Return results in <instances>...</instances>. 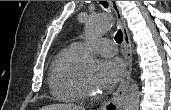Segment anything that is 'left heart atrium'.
<instances>
[{
  "instance_id": "1",
  "label": "left heart atrium",
  "mask_w": 171,
  "mask_h": 110,
  "mask_svg": "<svg viewBox=\"0 0 171 110\" xmlns=\"http://www.w3.org/2000/svg\"><path fill=\"white\" fill-rule=\"evenodd\" d=\"M125 66L121 59L103 60L94 76L93 84L96 89L109 90L113 88L124 74Z\"/></svg>"
}]
</instances>
